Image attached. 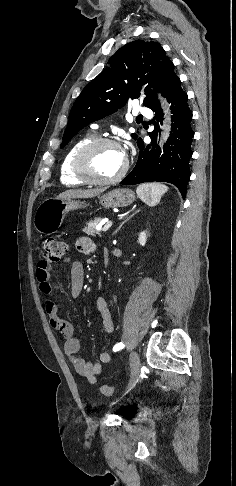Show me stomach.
<instances>
[{"mask_svg": "<svg viewBox=\"0 0 236 486\" xmlns=\"http://www.w3.org/2000/svg\"><path fill=\"white\" fill-rule=\"evenodd\" d=\"M98 198L100 204L105 208L126 207L136 199L135 193L128 188L114 189ZM86 206L85 201L59 198L46 199L36 209L34 227L42 234L55 233L69 211Z\"/></svg>", "mask_w": 236, "mask_h": 486, "instance_id": "1", "label": "stomach"}]
</instances>
